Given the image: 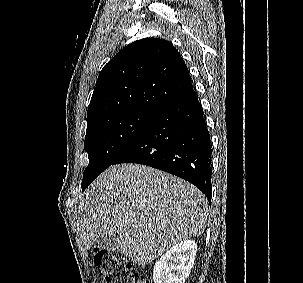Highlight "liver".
Segmentation results:
<instances>
[{
  "label": "liver",
  "mask_w": 303,
  "mask_h": 283,
  "mask_svg": "<svg viewBox=\"0 0 303 283\" xmlns=\"http://www.w3.org/2000/svg\"><path fill=\"white\" fill-rule=\"evenodd\" d=\"M207 214L205 196L189 182L148 166L119 164L84 192L77 225L86 249L111 235L121 254L146 265L200 236Z\"/></svg>",
  "instance_id": "liver-1"
}]
</instances>
